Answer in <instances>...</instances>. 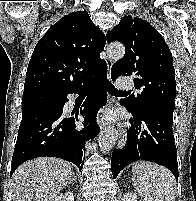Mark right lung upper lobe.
<instances>
[{
    "label": "right lung upper lobe",
    "instance_id": "cb5924a9",
    "mask_svg": "<svg viewBox=\"0 0 196 201\" xmlns=\"http://www.w3.org/2000/svg\"><path fill=\"white\" fill-rule=\"evenodd\" d=\"M106 38L86 11L72 12L52 25L31 56L23 97L63 95L84 84L101 70Z\"/></svg>",
    "mask_w": 196,
    "mask_h": 201
}]
</instances>
